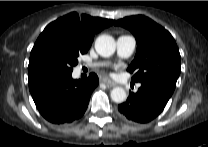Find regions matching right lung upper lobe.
<instances>
[{
  "instance_id": "obj_1",
  "label": "right lung upper lobe",
  "mask_w": 208,
  "mask_h": 147,
  "mask_svg": "<svg viewBox=\"0 0 208 147\" xmlns=\"http://www.w3.org/2000/svg\"><path fill=\"white\" fill-rule=\"evenodd\" d=\"M114 22L110 19L79 15L73 12L50 23L40 34L31 51L28 66L29 80L43 75L40 60L47 49L58 45H68L87 52L92 44L93 36Z\"/></svg>"
}]
</instances>
